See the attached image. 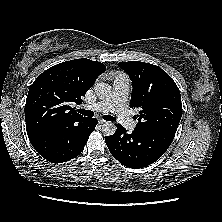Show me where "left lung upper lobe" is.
Wrapping results in <instances>:
<instances>
[{
	"mask_svg": "<svg viewBox=\"0 0 222 222\" xmlns=\"http://www.w3.org/2000/svg\"><path fill=\"white\" fill-rule=\"evenodd\" d=\"M132 80L131 107L140 109L135 129L166 130L176 133L181 116L180 91L160 67L139 62H120Z\"/></svg>",
	"mask_w": 222,
	"mask_h": 222,
	"instance_id": "obj_1",
	"label": "left lung upper lobe"
}]
</instances>
